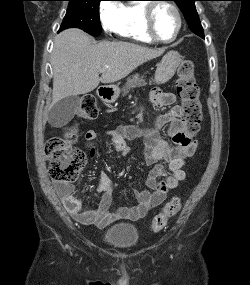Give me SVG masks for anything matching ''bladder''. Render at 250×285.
Here are the masks:
<instances>
[{"label":"bladder","instance_id":"31cf9c89","mask_svg":"<svg viewBox=\"0 0 250 285\" xmlns=\"http://www.w3.org/2000/svg\"><path fill=\"white\" fill-rule=\"evenodd\" d=\"M137 228L130 223H116L103 232V239L106 243L117 248H131L138 242Z\"/></svg>","mask_w":250,"mask_h":285}]
</instances>
